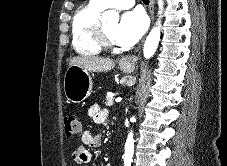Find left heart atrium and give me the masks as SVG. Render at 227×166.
I'll use <instances>...</instances> for the list:
<instances>
[{
	"instance_id": "obj_1",
	"label": "left heart atrium",
	"mask_w": 227,
	"mask_h": 166,
	"mask_svg": "<svg viewBox=\"0 0 227 166\" xmlns=\"http://www.w3.org/2000/svg\"><path fill=\"white\" fill-rule=\"evenodd\" d=\"M147 25V17L141 10L126 12L115 29L114 40L122 45H132L146 31Z\"/></svg>"
}]
</instances>
